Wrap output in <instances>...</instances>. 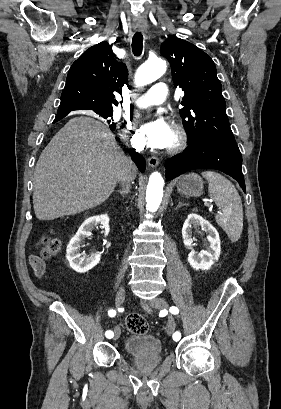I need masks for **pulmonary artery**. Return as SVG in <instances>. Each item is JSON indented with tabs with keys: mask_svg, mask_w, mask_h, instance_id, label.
<instances>
[{
	"mask_svg": "<svg viewBox=\"0 0 281 409\" xmlns=\"http://www.w3.org/2000/svg\"><path fill=\"white\" fill-rule=\"evenodd\" d=\"M166 88L167 83L165 81H154L152 91H147L145 93L147 98H138L136 103L141 108L159 105L164 99H168L170 97V92L165 90Z\"/></svg>",
	"mask_w": 281,
	"mask_h": 409,
	"instance_id": "1",
	"label": "pulmonary artery"
}]
</instances>
